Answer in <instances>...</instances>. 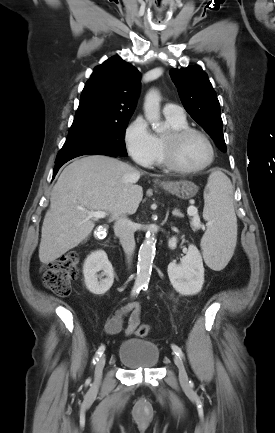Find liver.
<instances>
[{
	"instance_id": "6515ba94",
	"label": "liver",
	"mask_w": 275,
	"mask_h": 433,
	"mask_svg": "<svg viewBox=\"0 0 275 433\" xmlns=\"http://www.w3.org/2000/svg\"><path fill=\"white\" fill-rule=\"evenodd\" d=\"M142 174L104 155L76 159L65 167L43 221L40 262H54L90 235L95 223L86 210L106 211L110 221L134 214L143 198V189L136 184Z\"/></svg>"
}]
</instances>
